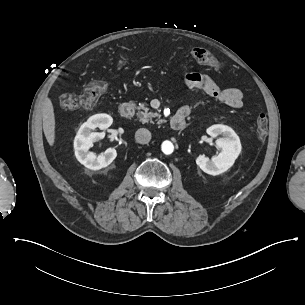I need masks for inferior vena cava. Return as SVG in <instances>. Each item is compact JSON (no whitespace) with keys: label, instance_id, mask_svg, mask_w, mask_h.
<instances>
[{"label":"inferior vena cava","instance_id":"inferior-vena-cava-1","mask_svg":"<svg viewBox=\"0 0 305 305\" xmlns=\"http://www.w3.org/2000/svg\"><path fill=\"white\" fill-rule=\"evenodd\" d=\"M135 139L140 144H147L151 140V133L148 129L140 128L135 133Z\"/></svg>","mask_w":305,"mask_h":305}]
</instances>
